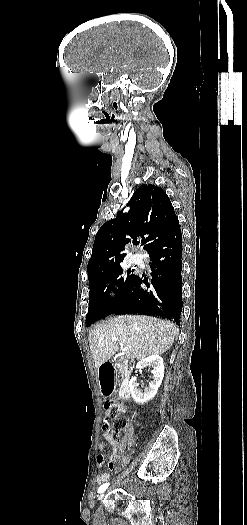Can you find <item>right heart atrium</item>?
<instances>
[{
  "instance_id": "right-heart-atrium-1",
  "label": "right heart atrium",
  "mask_w": 247,
  "mask_h": 525,
  "mask_svg": "<svg viewBox=\"0 0 247 525\" xmlns=\"http://www.w3.org/2000/svg\"><path fill=\"white\" fill-rule=\"evenodd\" d=\"M107 294L109 298H113L115 296V288L113 284H109L107 287Z\"/></svg>"
}]
</instances>
